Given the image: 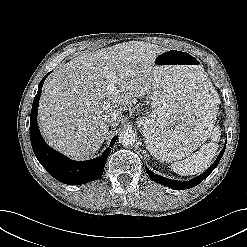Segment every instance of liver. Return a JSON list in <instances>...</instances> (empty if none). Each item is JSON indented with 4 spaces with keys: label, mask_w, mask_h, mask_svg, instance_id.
Listing matches in <instances>:
<instances>
[{
    "label": "liver",
    "mask_w": 247,
    "mask_h": 247,
    "mask_svg": "<svg viewBox=\"0 0 247 247\" xmlns=\"http://www.w3.org/2000/svg\"><path fill=\"white\" fill-rule=\"evenodd\" d=\"M167 48L129 41L82 53L49 77L39 101L38 124L48 144L66 156L87 160L103 144L107 118L150 93L155 58ZM116 77V90L106 88ZM219 103V100H217Z\"/></svg>",
    "instance_id": "obj_1"
}]
</instances>
